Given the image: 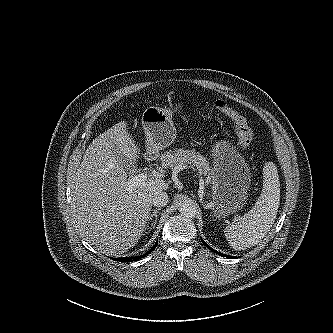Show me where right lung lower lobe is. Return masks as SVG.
<instances>
[{
    "label": "right lung lower lobe",
    "mask_w": 333,
    "mask_h": 333,
    "mask_svg": "<svg viewBox=\"0 0 333 333\" xmlns=\"http://www.w3.org/2000/svg\"><path fill=\"white\" fill-rule=\"evenodd\" d=\"M158 244V241L156 242V244L154 245V247L152 249H150L147 253L140 255V256H136V257H125V258H112L115 261H120V262H128V261H137L141 258H143L144 256L148 255L150 252H152L156 246Z\"/></svg>",
    "instance_id": "98d812e1"
}]
</instances>
